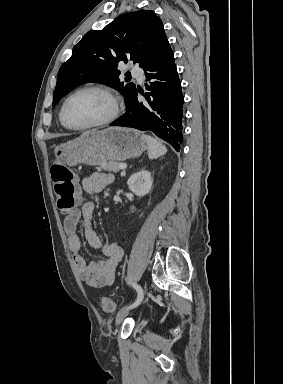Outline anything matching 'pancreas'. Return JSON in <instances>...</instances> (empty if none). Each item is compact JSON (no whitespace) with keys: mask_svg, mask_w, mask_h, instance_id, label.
I'll list each match as a JSON object with an SVG mask.
<instances>
[{"mask_svg":"<svg viewBox=\"0 0 283 384\" xmlns=\"http://www.w3.org/2000/svg\"><path fill=\"white\" fill-rule=\"evenodd\" d=\"M120 164H122V162H106V164H101V168L105 170V172H118V170H120Z\"/></svg>","mask_w":283,"mask_h":384,"instance_id":"obj_1","label":"pancreas"}]
</instances>
